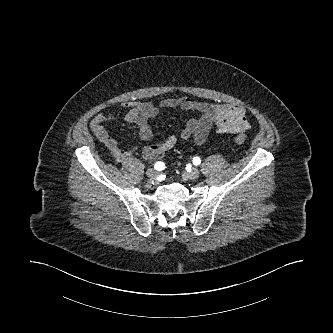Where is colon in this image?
I'll return each instance as SVG.
<instances>
[{
    "label": "colon",
    "instance_id": "5ec220e1",
    "mask_svg": "<svg viewBox=\"0 0 333 333\" xmlns=\"http://www.w3.org/2000/svg\"><path fill=\"white\" fill-rule=\"evenodd\" d=\"M246 141V138L244 135L242 134H239L237 136L234 137V142L237 144V145H243Z\"/></svg>",
    "mask_w": 333,
    "mask_h": 333
}]
</instances>
